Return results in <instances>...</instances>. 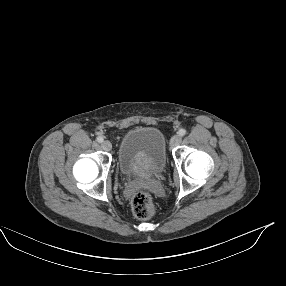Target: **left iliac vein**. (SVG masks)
<instances>
[{"label":"left iliac vein","instance_id":"4c4485c4","mask_svg":"<svg viewBox=\"0 0 286 286\" xmlns=\"http://www.w3.org/2000/svg\"><path fill=\"white\" fill-rule=\"evenodd\" d=\"M181 140H182L181 136L179 134H176L171 138L170 145L172 147L177 146L181 143Z\"/></svg>","mask_w":286,"mask_h":286}]
</instances>
